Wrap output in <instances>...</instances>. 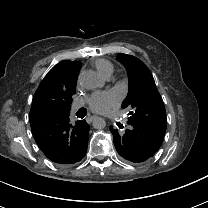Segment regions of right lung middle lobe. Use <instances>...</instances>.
Here are the masks:
<instances>
[{
    "mask_svg": "<svg viewBox=\"0 0 208 208\" xmlns=\"http://www.w3.org/2000/svg\"><path fill=\"white\" fill-rule=\"evenodd\" d=\"M71 101H72V96L64 97L62 103H61V110H56V111H50V112H59L61 114L69 115V111L71 108Z\"/></svg>",
    "mask_w": 208,
    "mask_h": 208,
    "instance_id": "right-lung-middle-lobe-1",
    "label": "right lung middle lobe"
}]
</instances>
